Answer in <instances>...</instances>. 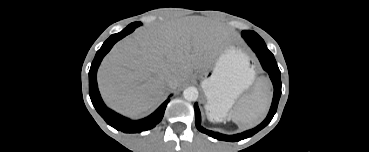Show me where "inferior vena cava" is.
I'll return each mask as SVG.
<instances>
[{"label":"inferior vena cava","mask_w":369,"mask_h":152,"mask_svg":"<svg viewBox=\"0 0 369 152\" xmlns=\"http://www.w3.org/2000/svg\"><path fill=\"white\" fill-rule=\"evenodd\" d=\"M167 83H168L169 85H172V84H173V79H172V77H171V76H168V77H167Z\"/></svg>","instance_id":"inferior-vena-cava-1"}]
</instances>
